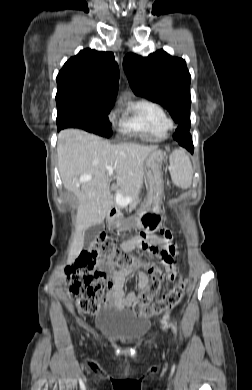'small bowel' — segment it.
<instances>
[{"instance_id":"small-bowel-1","label":"small bowel","mask_w":252,"mask_h":390,"mask_svg":"<svg viewBox=\"0 0 252 390\" xmlns=\"http://www.w3.org/2000/svg\"><path fill=\"white\" fill-rule=\"evenodd\" d=\"M149 239L151 244L156 247V249L152 250L151 253L159 256L163 261L165 268H168L169 264L164 261V255H170L172 257V263L177 255V249L173 243L171 233L167 230H163L160 236L150 235ZM124 248L127 250L142 248V234L127 241ZM98 266L107 274V293L103 300V305L107 309L114 307L117 310H124L135 304L136 293L133 291L127 293L125 292V284L129 278H135L136 287L139 290L146 288L149 283V278L144 272L130 269L125 271L115 270L103 261H99Z\"/></svg>"}]
</instances>
